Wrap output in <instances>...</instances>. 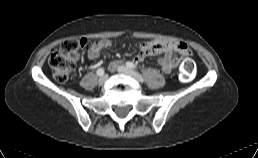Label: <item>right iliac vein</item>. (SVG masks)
Segmentation results:
<instances>
[{"mask_svg":"<svg viewBox=\"0 0 258 158\" xmlns=\"http://www.w3.org/2000/svg\"><path fill=\"white\" fill-rule=\"evenodd\" d=\"M107 79H108V75L105 74V75L101 76L98 81L99 85H104L106 83Z\"/></svg>","mask_w":258,"mask_h":158,"instance_id":"obj_1","label":"right iliac vein"}]
</instances>
